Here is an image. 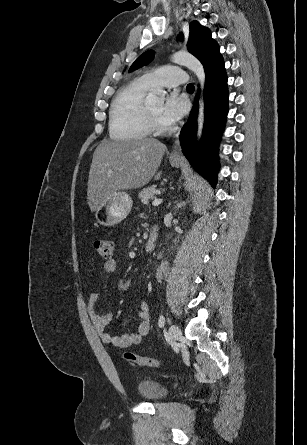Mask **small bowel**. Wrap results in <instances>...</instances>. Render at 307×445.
I'll return each instance as SVG.
<instances>
[{"instance_id": "c3829d8e", "label": "small bowel", "mask_w": 307, "mask_h": 445, "mask_svg": "<svg viewBox=\"0 0 307 445\" xmlns=\"http://www.w3.org/2000/svg\"><path fill=\"white\" fill-rule=\"evenodd\" d=\"M103 272L106 274L114 273L117 269V263L114 259H107L103 264ZM98 293L91 292L88 296L87 309L91 320L104 343L116 348H127L138 344L150 330V309L145 301H141L138 307V317L140 324L137 331L114 336L107 331V326L112 319L111 312H99L96 308Z\"/></svg>"}]
</instances>
